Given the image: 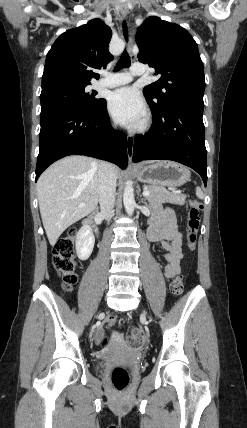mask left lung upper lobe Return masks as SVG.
Segmentation results:
<instances>
[{"label":"left lung upper lobe","instance_id":"5c2ea615","mask_svg":"<svg viewBox=\"0 0 247 428\" xmlns=\"http://www.w3.org/2000/svg\"><path fill=\"white\" fill-rule=\"evenodd\" d=\"M136 41L139 61L161 75L143 90L153 112L160 114L177 102L204 107V66L187 30L151 16L138 28Z\"/></svg>","mask_w":247,"mask_h":428}]
</instances>
